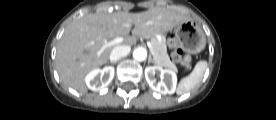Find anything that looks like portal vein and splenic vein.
I'll use <instances>...</instances> for the list:
<instances>
[{"instance_id":"obj_1","label":"portal vein and splenic vein","mask_w":276,"mask_h":120,"mask_svg":"<svg viewBox=\"0 0 276 120\" xmlns=\"http://www.w3.org/2000/svg\"><path fill=\"white\" fill-rule=\"evenodd\" d=\"M122 41H123V38H122V37H116V38H114V39L111 40V41L105 42L104 44H102V47H101L100 51L98 52V56H99L106 48L115 46V45L121 43ZM148 47H149V49H150V52H152L153 48H152L151 43H148Z\"/></svg>"}]
</instances>
